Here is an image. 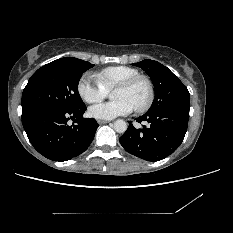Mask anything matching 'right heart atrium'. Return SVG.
<instances>
[{"mask_svg": "<svg viewBox=\"0 0 233 233\" xmlns=\"http://www.w3.org/2000/svg\"><path fill=\"white\" fill-rule=\"evenodd\" d=\"M79 96L87 103H97L107 96V90L91 76H83L77 86Z\"/></svg>", "mask_w": 233, "mask_h": 233, "instance_id": "d8ad5b80", "label": "right heart atrium"}]
</instances>
